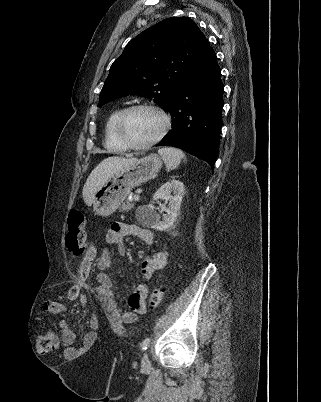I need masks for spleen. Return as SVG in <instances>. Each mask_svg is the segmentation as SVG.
I'll use <instances>...</instances> for the list:
<instances>
[{"mask_svg": "<svg viewBox=\"0 0 321 402\" xmlns=\"http://www.w3.org/2000/svg\"><path fill=\"white\" fill-rule=\"evenodd\" d=\"M158 153L161 155L167 171L178 168L182 160L186 161L185 153L177 148L164 147L159 149Z\"/></svg>", "mask_w": 321, "mask_h": 402, "instance_id": "1", "label": "spleen"}]
</instances>
